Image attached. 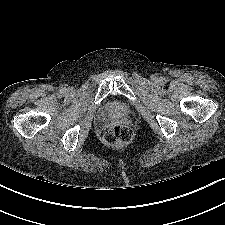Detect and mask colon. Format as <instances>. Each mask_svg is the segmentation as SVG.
I'll return each mask as SVG.
<instances>
[{"mask_svg":"<svg viewBox=\"0 0 225 225\" xmlns=\"http://www.w3.org/2000/svg\"><path fill=\"white\" fill-rule=\"evenodd\" d=\"M132 138V131L128 126L115 125L109 128L105 135L104 140L109 145H119L127 143Z\"/></svg>","mask_w":225,"mask_h":225,"instance_id":"1","label":"colon"}]
</instances>
